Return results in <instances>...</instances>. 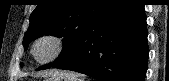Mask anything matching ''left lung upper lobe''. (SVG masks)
Listing matches in <instances>:
<instances>
[{"mask_svg":"<svg viewBox=\"0 0 169 81\" xmlns=\"http://www.w3.org/2000/svg\"><path fill=\"white\" fill-rule=\"evenodd\" d=\"M112 0H40L30 15V25L23 39L28 43L44 35L64 37L60 56L39 69L56 67L67 61L88 25ZM23 65V64H22Z\"/></svg>","mask_w":169,"mask_h":81,"instance_id":"5c2ea615","label":"left lung upper lobe"}]
</instances>
